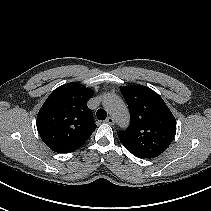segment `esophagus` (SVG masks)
I'll return each mask as SVG.
<instances>
[{"label": "esophagus", "instance_id": "1", "mask_svg": "<svg viewBox=\"0 0 211 211\" xmlns=\"http://www.w3.org/2000/svg\"><path fill=\"white\" fill-rule=\"evenodd\" d=\"M106 122H107L108 124H110V125H113V124H114V119H113V117H108V118L106 119Z\"/></svg>", "mask_w": 211, "mask_h": 211}]
</instances>
